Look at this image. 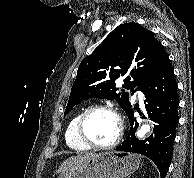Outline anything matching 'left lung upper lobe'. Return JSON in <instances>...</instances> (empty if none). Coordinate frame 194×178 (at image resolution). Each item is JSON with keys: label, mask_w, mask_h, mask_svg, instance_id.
Instances as JSON below:
<instances>
[{"label": "left lung upper lobe", "mask_w": 194, "mask_h": 178, "mask_svg": "<svg viewBox=\"0 0 194 178\" xmlns=\"http://www.w3.org/2000/svg\"><path fill=\"white\" fill-rule=\"evenodd\" d=\"M167 59L168 54L151 31L133 22L119 25L81 62L64 116L88 98L116 99L126 112L131 107L129 94L124 89L119 92L115 80L123 78V87L133 90Z\"/></svg>", "instance_id": "5c2ea615"}]
</instances>
